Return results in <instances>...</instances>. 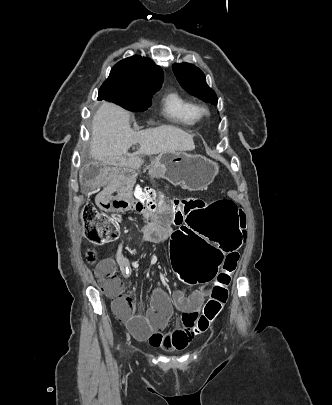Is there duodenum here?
<instances>
[{
	"instance_id": "410a0bca",
	"label": "duodenum",
	"mask_w": 332,
	"mask_h": 405,
	"mask_svg": "<svg viewBox=\"0 0 332 405\" xmlns=\"http://www.w3.org/2000/svg\"><path fill=\"white\" fill-rule=\"evenodd\" d=\"M155 217L157 218V217H158V215H157V214H155Z\"/></svg>"
}]
</instances>
